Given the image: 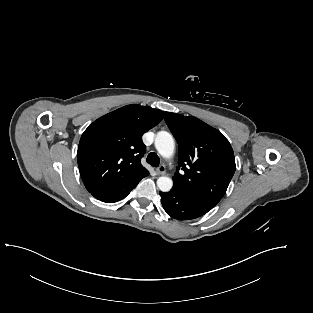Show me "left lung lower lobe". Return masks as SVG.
<instances>
[{"instance_id":"0a47b994","label":"left lung lower lobe","mask_w":313,"mask_h":313,"mask_svg":"<svg viewBox=\"0 0 313 313\" xmlns=\"http://www.w3.org/2000/svg\"><path fill=\"white\" fill-rule=\"evenodd\" d=\"M164 210L177 220H190L206 214L215 205L186 195L172 188L168 193L159 192Z\"/></svg>"}]
</instances>
